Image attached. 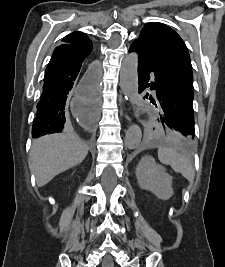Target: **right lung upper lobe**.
Returning a JSON list of instances; mask_svg holds the SVG:
<instances>
[{
  "label": "right lung upper lobe",
  "instance_id": "right-lung-upper-lobe-1",
  "mask_svg": "<svg viewBox=\"0 0 225 267\" xmlns=\"http://www.w3.org/2000/svg\"><path fill=\"white\" fill-rule=\"evenodd\" d=\"M64 43L69 44H87L92 43L88 36L82 32H73L67 36H65L62 40Z\"/></svg>",
  "mask_w": 225,
  "mask_h": 267
}]
</instances>
